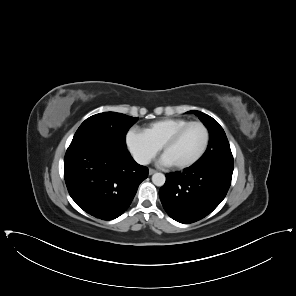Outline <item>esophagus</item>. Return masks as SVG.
Wrapping results in <instances>:
<instances>
[{"mask_svg":"<svg viewBox=\"0 0 296 296\" xmlns=\"http://www.w3.org/2000/svg\"><path fill=\"white\" fill-rule=\"evenodd\" d=\"M155 172H156L155 169H152V168L149 169V175H152V174H154Z\"/></svg>","mask_w":296,"mask_h":296,"instance_id":"34e87169","label":"esophagus"}]
</instances>
